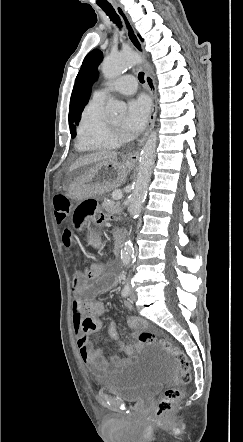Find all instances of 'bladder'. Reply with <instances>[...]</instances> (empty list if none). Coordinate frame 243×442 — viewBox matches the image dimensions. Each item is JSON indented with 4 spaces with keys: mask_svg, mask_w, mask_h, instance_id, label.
<instances>
[{
    "mask_svg": "<svg viewBox=\"0 0 243 442\" xmlns=\"http://www.w3.org/2000/svg\"><path fill=\"white\" fill-rule=\"evenodd\" d=\"M177 361L154 353L148 359L134 360L97 379V384L125 401H143L156 395L163 385L175 379Z\"/></svg>",
    "mask_w": 243,
    "mask_h": 442,
    "instance_id": "31cf9c89",
    "label": "bladder"
}]
</instances>
